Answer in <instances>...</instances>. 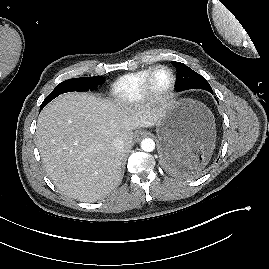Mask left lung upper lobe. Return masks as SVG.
<instances>
[{
  "instance_id": "5c2ea615",
  "label": "left lung upper lobe",
  "mask_w": 269,
  "mask_h": 269,
  "mask_svg": "<svg viewBox=\"0 0 269 269\" xmlns=\"http://www.w3.org/2000/svg\"><path fill=\"white\" fill-rule=\"evenodd\" d=\"M177 71V91H184L188 89H204L212 91L211 86L207 80L200 74L193 71L191 68L183 63L172 61Z\"/></svg>"
}]
</instances>
